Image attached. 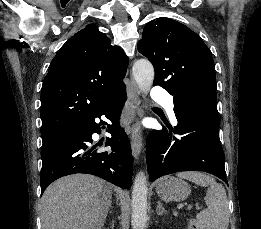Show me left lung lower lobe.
<instances>
[{
	"label": "left lung lower lobe",
	"instance_id": "0a47b994",
	"mask_svg": "<svg viewBox=\"0 0 261 229\" xmlns=\"http://www.w3.org/2000/svg\"><path fill=\"white\" fill-rule=\"evenodd\" d=\"M174 112L178 121L175 130L169 128L168 133L164 127L163 131H152L147 138L151 181L190 170L205 171L223 179L225 159L219 139L218 113L200 106L181 107Z\"/></svg>",
	"mask_w": 261,
	"mask_h": 229
}]
</instances>
